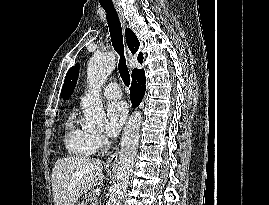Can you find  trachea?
I'll return each mask as SVG.
<instances>
[{
  "instance_id": "3493384b",
  "label": "trachea",
  "mask_w": 269,
  "mask_h": 205,
  "mask_svg": "<svg viewBox=\"0 0 269 205\" xmlns=\"http://www.w3.org/2000/svg\"><path fill=\"white\" fill-rule=\"evenodd\" d=\"M106 12L109 32L114 50L119 54L118 70L126 86L130 84V74L124 56L123 36L118 14L113 6L101 5Z\"/></svg>"
}]
</instances>
